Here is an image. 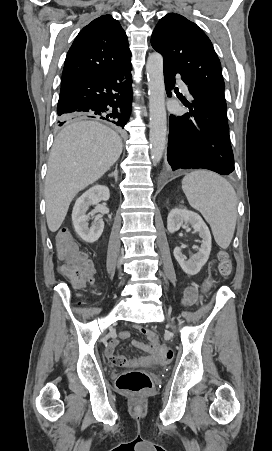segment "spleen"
Masks as SVG:
<instances>
[{"label": "spleen", "instance_id": "1", "mask_svg": "<svg viewBox=\"0 0 272 451\" xmlns=\"http://www.w3.org/2000/svg\"><path fill=\"white\" fill-rule=\"evenodd\" d=\"M182 190L192 208L210 224L216 243L226 249L234 235L237 220L236 192L214 172L197 170L186 174Z\"/></svg>", "mask_w": 272, "mask_h": 451}]
</instances>
